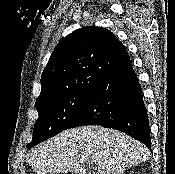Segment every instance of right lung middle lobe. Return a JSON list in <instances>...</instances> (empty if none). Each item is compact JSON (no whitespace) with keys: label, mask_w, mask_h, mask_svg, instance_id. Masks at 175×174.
I'll use <instances>...</instances> for the list:
<instances>
[{"label":"right lung middle lobe","mask_w":175,"mask_h":174,"mask_svg":"<svg viewBox=\"0 0 175 174\" xmlns=\"http://www.w3.org/2000/svg\"><path fill=\"white\" fill-rule=\"evenodd\" d=\"M94 85L69 90L35 103L39 118L35 122L28 148L68 128L77 116Z\"/></svg>","instance_id":"obj_1"}]
</instances>
